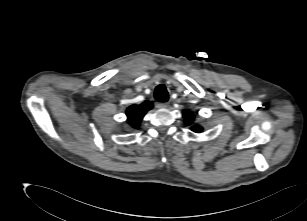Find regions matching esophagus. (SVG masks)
<instances>
[{
  "label": "esophagus",
  "mask_w": 307,
  "mask_h": 221,
  "mask_svg": "<svg viewBox=\"0 0 307 221\" xmlns=\"http://www.w3.org/2000/svg\"><path fill=\"white\" fill-rule=\"evenodd\" d=\"M156 107L158 109H164V108H168L169 104L167 102H157Z\"/></svg>",
  "instance_id": "esophagus-1"
}]
</instances>
